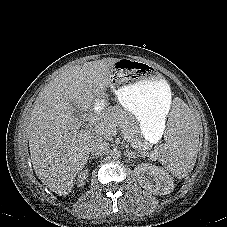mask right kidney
<instances>
[{
  "instance_id": "obj_1",
  "label": "right kidney",
  "mask_w": 227,
  "mask_h": 227,
  "mask_svg": "<svg viewBox=\"0 0 227 227\" xmlns=\"http://www.w3.org/2000/svg\"><path fill=\"white\" fill-rule=\"evenodd\" d=\"M89 171L88 169L81 171L78 174V178L76 180V184L78 187H83L87 181V177H88Z\"/></svg>"
}]
</instances>
